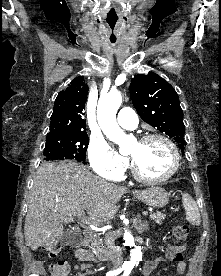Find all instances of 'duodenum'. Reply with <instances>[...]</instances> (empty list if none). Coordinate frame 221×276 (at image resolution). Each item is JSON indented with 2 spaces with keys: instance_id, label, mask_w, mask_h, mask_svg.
I'll use <instances>...</instances> for the list:
<instances>
[{
  "instance_id": "obj_1",
  "label": "duodenum",
  "mask_w": 221,
  "mask_h": 276,
  "mask_svg": "<svg viewBox=\"0 0 221 276\" xmlns=\"http://www.w3.org/2000/svg\"><path fill=\"white\" fill-rule=\"evenodd\" d=\"M91 239H92L91 232L89 230H84L82 241L80 244V249L87 250V248L90 246ZM94 253L99 260H106L108 258V252L103 248H95Z\"/></svg>"
}]
</instances>
